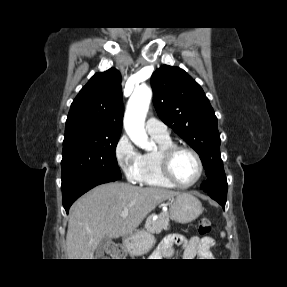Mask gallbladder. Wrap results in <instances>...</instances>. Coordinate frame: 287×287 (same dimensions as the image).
Listing matches in <instances>:
<instances>
[{
    "instance_id": "1",
    "label": "gallbladder",
    "mask_w": 287,
    "mask_h": 287,
    "mask_svg": "<svg viewBox=\"0 0 287 287\" xmlns=\"http://www.w3.org/2000/svg\"><path fill=\"white\" fill-rule=\"evenodd\" d=\"M111 242V238H109L108 236H104L101 241L99 242V244L96 247L95 250V254L97 257H101L104 254V251L106 249V247L110 244Z\"/></svg>"
}]
</instances>
